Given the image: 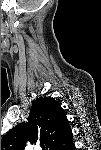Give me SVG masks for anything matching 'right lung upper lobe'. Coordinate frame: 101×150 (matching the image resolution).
Masks as SVG:
<instances>
[{"mask_svg": "<svg viewBox=\"0 0 101 150\" xmlns=\"http://www.w3.org/2000/svg\"><path fill=\"white\" fill-rule=\"evenodd\" d=\"M27 140L44 143L49 150H66L72 143L69 121L58 101L37 99L28 122L15 126L1 139V150H24Z\"/></svg>", "mask_w": 101, "mask_h": 150, "instance_id": "right-lung-upper-lobe-1", "label": "right lung upper lobe"}]
</instances>
